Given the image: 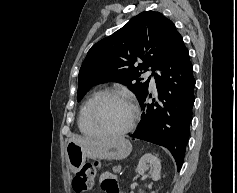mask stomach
<instances>
[{
	"mask_svg": "<svg viewBox=\"0 0 237 193\" xmlns=\"http://www.w3.org/2000/svg\"><path fill=\"white\" fill-rule=\"evenodd\" d=\"M132 151V144L124 137L109 138L103 143L80 145L69 142L66 156L73 173H77L85 164L87 158L122 160Z\"/></svg>",
	"mask_w": 237,
	"mask_h": 193,
	"instance_id": "obj_1",
	"label": "stomach"
}]
</instances>
